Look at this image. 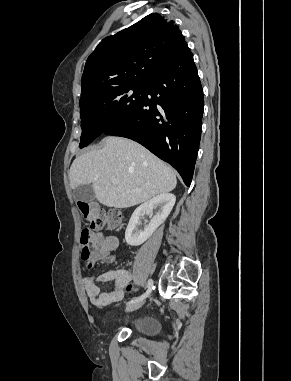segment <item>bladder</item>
Wrapping results in <instances>:
<instances>
[{
	"label": "bladder",
	"instance_id": "31cf9c89",
	"mask_svg": "<svg viewBox=\"0 0 291 381\" xmlns=\"http://www.w3.org/2000/svg\"><path fill=\"white\" fill-rule=\"evenodd\" d=\"M129 328L136 334L143 336H154L160 331L157 318L151 314H140L127 317Z\"/></svg>",
	"mask_w": 291,
	"mask_h": 381
}]
</instances>
